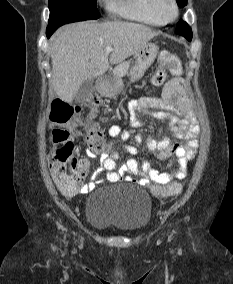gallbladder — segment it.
Segmentation results:
<instances>
[{"instance_id": "1", "label": "gallbladder", "mask_w": 233, "mask_h": 284, "mask_svg": "<svg viewBox=\"0 0 233 284\" xmlns=\"http://www.w3.org/2000/svg\"><path fill=\"white\" fill-rule=\"evenodd\" d=\"M93 81L92 80H86L84 81L81 86L79 87L74 100L76 103H83L85 102L90 96L93 91Z\"/></svg>"}]
</instances>
